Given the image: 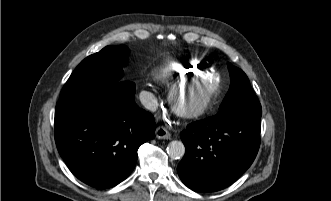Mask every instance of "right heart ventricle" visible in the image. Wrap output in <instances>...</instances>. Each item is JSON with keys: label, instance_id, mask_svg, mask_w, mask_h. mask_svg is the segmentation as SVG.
Returning a JSON list of instances; mask_svg holds the SVG:
<instances>
[{"label": "right heart ventricle", "instance_id": "e07e8e85", "mask_svg": "<svg viewBox=\"0 0 331 201\" xmlns=\"http://www.w3.org/2000/svg\"><path fill=\"white\" fill-rule=\"evenodd\" d=\"M207 72L198 60L186 59L170 61L158 66L153 72V77L158 82L167 83L182 76H200Z\"/></svg>", "mask_w": 331, "mask_h": 201}]
</instances>
